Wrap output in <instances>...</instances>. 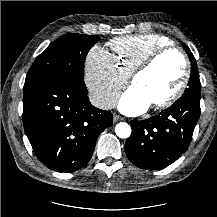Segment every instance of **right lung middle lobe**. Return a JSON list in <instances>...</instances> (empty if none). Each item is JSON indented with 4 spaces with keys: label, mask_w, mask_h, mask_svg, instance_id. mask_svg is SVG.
<instances>
[{
    "label": "right lung middle lobe",
    "mask_w": 217,
    "mask_h": 217,
    "mask_svg": "<svg viewBox=\"0 0 217 217\" xmlns=\"http://www.w3.org/2000/svg\"><path fill=\"white\" fill-rule=\"evenodd\" d=\"M98 40V35L69 33L61 36L35 59L24 85L50 75H63L79 85H85L84 61L88 51Z\"/></svg>",
    "instance_id": "1"
}]
</instances>
